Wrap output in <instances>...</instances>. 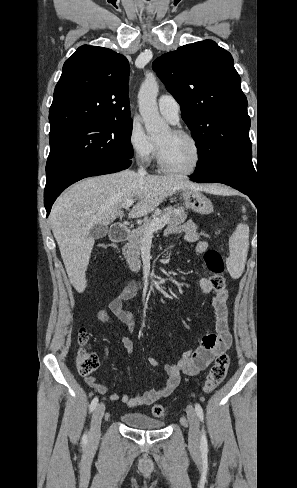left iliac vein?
I'll return each instance as SVG.
<instances>
[{
  "instance_id": "obj_1",
  "label": "left iliac vein",
  "mask_w": 297,
  "mask_h": 488,
  "mask_svg": "<svg viewBox=\"0 0 297 488\" xmlns=\"http://www.w3.org/2000/svg\"><path fill=\"white\" fill-rule=\"evenodd\" d=\"M186 413L190 425L189 432H188L189 446L194 453H197L199 452V448H200L199 418L197 416L196 411L191 405L187 406Z\"/></svg>"
}]
</instances>
